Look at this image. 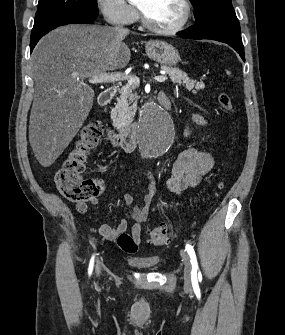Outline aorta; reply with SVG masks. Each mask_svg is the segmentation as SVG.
I'll return each instance as SVG.
<instances>
[{"label":"aorta","instance_id":"aorta-1","mask_svg":"<svg viewBox=\"0 0 285 335\" xmlns=\"http://www.w3.org/2000/svg\"><path fill=\"white\" fill-rule=\"evenodd\" d=\"M141 111V125L134 127V134L140 137L139 147H145L143 155L157 160L166 155L168 147H174L177 122L170 119V112H163L164 106L157 105V100H146Z\"/></svg>","mask_w":285,"mask_h":335}]
</instances>
